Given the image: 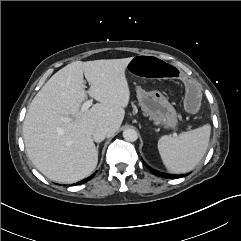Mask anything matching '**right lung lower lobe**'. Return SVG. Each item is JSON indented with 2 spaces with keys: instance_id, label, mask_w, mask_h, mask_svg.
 <instances>
[{
  "instance_id": "1",
  "label": "right lung lower lobe",
  "mask_w": 241,
  "mask_h": 241,
  "mask_svg": "<svg viewBox=\"0 0 241 241\" xmlns=\"http://www.w3.org/2000/svg\"><path fill=\"white\" fill-rule=\"evenodd\" d=\"M94 175H92L91 177H89L88 179H84L83 181H81V182H79V184H83V183H85V182H87V181H89L92 177H93Z\"/></svg>"
}]
</instances>
